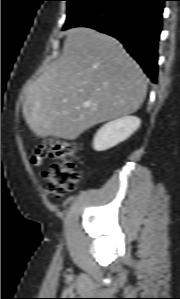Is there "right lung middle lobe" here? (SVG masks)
<instances>
[{
  "mask_svg": "<svg viewBox=\"0 0 180 299\" xmlns=\"http://www.w3.org/2000/svg\"><path fill=\"white\" fill-rule=\"evenodd\" d=\"M68 1L67 19L63 29L69 27L74 21L88 12L103 0H66Z\"/></svg>",
  "mask_w": 180,
  "mask_h": 299,
  "instance_id": "dd1d6c3e",
  "label": "right lung middle lobe"
}]
</instances>
